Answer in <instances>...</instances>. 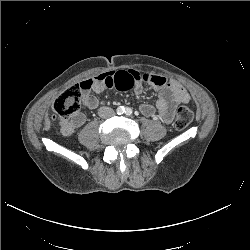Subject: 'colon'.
I'll return each instance as SVG.
<instances>
[{
  "instance_id": "colon-1",
  "label": "colon",
  "mask_w": 250,
  "mask_h": 250,
  "mask_svg": "<svg viewBox=\"0 0 250 250\" xmlns=\"http://www.w3.org/2000/svg\"><path fill=\"white\" fill-rule=\"evenodd\" d=\"M82 90L79 85H74L62 91L53 103V112L61 119H68L75 115L80 108ZM194 114L188 107L178 108L174 120L177 130H184L193 121Z\"/></svg>"
}]
</instances>
